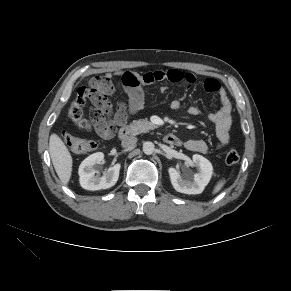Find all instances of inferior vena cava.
<instances>
[{"label":"inferior vena cava","instance_id":"602c4592","mask_svg":"<svg viewBox=\"0 0 291 291\" xmlns=\"http://www.w3.org/2000/svg\"><path fill=\"white\" fill-rule=\"evenodd\" d=\"M137 143V138L134 136H128L122 140V147L130 148L133 147Z\"/></svg>","mask_w":291,"mask_h":291}]
</instances>
